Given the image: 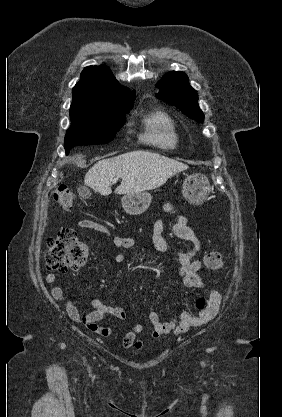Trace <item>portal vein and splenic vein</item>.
<instances>
[{
	"instance_id": "1",
	"label": "portal vein and splenic vein",
	"mask_w": 282,
	"mask_h": 417,
	"mask_svg": "<svg viewBox=\"0 0 282 417\" xmlns=\"http://www.w3.org/2000/svg\"><path fill=\"white\" fill-rule=\"evenodd\" d=\"M118 178H114L113 182H117Z\"/></svg>"
}]
</instances>
